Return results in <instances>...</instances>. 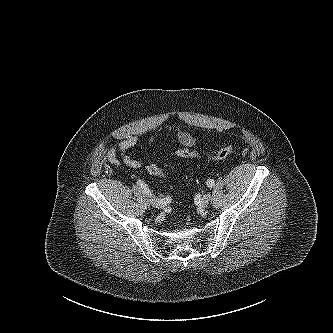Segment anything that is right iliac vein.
Returning a JSON list of instances; mask_svg holds the SVG:
<instances>
[{
    "mask_svg": "<svg viewBox=\"0 0 333 333\" xmlns=\"http://www.w3.org/2000/svg\"><path fill=\"white\" fill-rule=\"evenodd\" d=\"M150 203H151V205L153 206V207H155V208H163L165 205L164 204H162L160 201H158V200H155V199H151L150 200Z\"/></svg>",
    "mask_w": 333,
    "mask_h": 333,
    "instance_id": "obj_1",
    "label": "right iliac vein"
}]
</instances>
